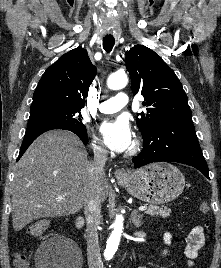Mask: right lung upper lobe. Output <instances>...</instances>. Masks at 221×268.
<instances>
[{"mask_svg":"<svg viewBox=\"0 0 221 268\" xmlns=\"http://www.w3.org/2000/svg\"><path fill=\"white\" fill-rule=\"evenodd\" d=\"M96 72L85 49L65 53L41 77L33 94L30 115L80 111Z\"/></svg>","mask_w":221,"mask_h":268,"instance_id":"obj_1","label":"right lung upper lobe"}]
</instances>
